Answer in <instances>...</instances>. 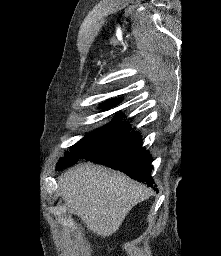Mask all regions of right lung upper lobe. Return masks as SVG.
Returning a JSON list of instances; mask_svg holds the SVG:
<instances>
[{
	"mask_svg": "<svg viewBox=\"0 0 221 256\" xmlns=\"http://www.w3.org/2000/svg\"><path fill=\"white\" fill-rule=\"evenodd\" d=\"M118 101H119L118 99H116V100H109V101L105 102L103 105H101V108L108 109L111 106H115L116 104H118Z\"/></svg>",
	"mask_w": 221,
	"mask_h": 256,
	"instance_id": "obj_1",
	"label": "right lung upper lobe"
}]
</instances>
